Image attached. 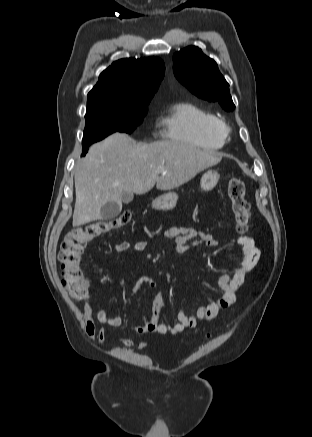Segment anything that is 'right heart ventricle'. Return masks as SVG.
<instances>
[{
	"mask_svg": "<svg viewBox=\"0 0 312 437\" xmlns=\"http://www.w3.org/2000/svg\"><path fill=\"white\" fill-rule=\"evenodd\" d=\"M160 128L168 140L205 149H219L227 138L221 119L193 103L174 105L161 118Z\"/></svg>",
	"mask_w": 312,
	"mask_h": 437,
	"instance_id": "obj_1",
	"label": "right heart ventricle"
}]
</instances>
